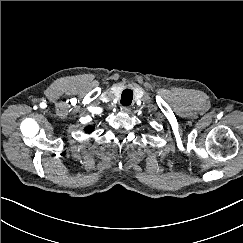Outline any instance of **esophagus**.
<instances>
[{
    "label": "esophagus",
    "instance_id": "34e87169",
    "mask_svg": "<svg viewBox=\"0 0 243 243\" xmlns=\"http://www.w3.org/2000/svg\"><path fill=\"white\" fill-rule=\"evenodd\" d=\"M121 110L124 111V112H130L131 111V107L124 105V106L121 107Z\"/></svg>",
    "mask_w": 243,
    "mask_h": 243
}]
</instances>
